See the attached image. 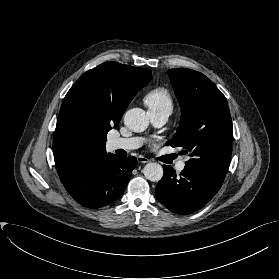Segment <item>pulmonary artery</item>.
Listing matches in <instances>:
<instances>
[{
    "label": "pulmonary artery",
    "mask_w": 279,
    "mask_h": 279,
    "mask_svg": "<svg viewBox=\"0 0 279 279\" xmlns=\"http://www.w3.org/2000/svg\"><path fill=\"white\" fill-rule=\"evenodd\" d=\"M169 114V111H149L150 119L156 126L164 125L169 117ZM140 144L141 140L139 138H113L109 142V146L112 150H133L138 148ZM175 168L178 172H181L185 168V162L183 160L177 162Z\"/></svg>",
    "instance_id": "1"
}]
</instances>
